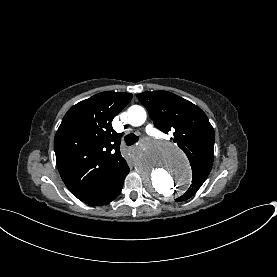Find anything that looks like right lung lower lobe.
<instances>
[{
	"instance_id": "98d812e1",
	"label": "right lung lower lobe",
	"mask_w": 277,
	"mask_h": 277,
	"mask_svg": "<svg viewBox=\"0 0 277 277\" xmlns=\"http://www.w3.org/2000/svg\"><path fill=\"white\" fill-rule=\"evenodd\" d=\"M128 173L129 167L126 165L113 182H111L94 196L83 200V202L90 205H103L111 202L120 194L124 179Z\"/></svg>"
}]
</instances>
